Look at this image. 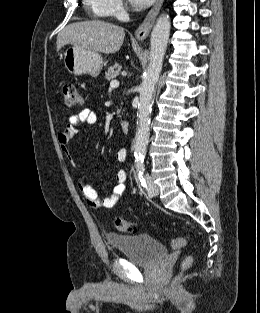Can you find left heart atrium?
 Listing matches in <instances>:
<instances>
[{
	"label": "left heart atrium",
	"instance_id": "obj_1",
	"mask_svg": "<svg viewBox=\"0 0 260 313\" xmlns=\"http://www.w3.org/2000/svg\"><path fill=\"white\" fill-rule=\"evenodd\" d=\"M130 3L137 9H144L150 6L154 0H129Z\"/></svg>",
	"mask_w": 260,
	"mask_h": 313
}]
</instances>
